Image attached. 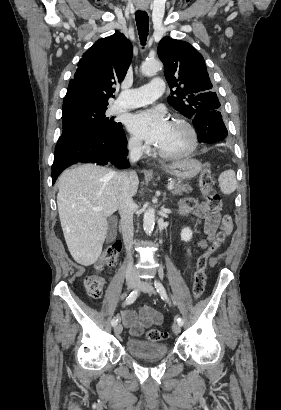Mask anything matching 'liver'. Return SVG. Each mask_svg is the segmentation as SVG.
<instances>
[{"mask_svg":"<svg viewBox=\"0 0 281 410\" xmlns=\"http://www.w3.org/2000/svg\"><path fill=\"white\" fill-rule=\"evenodd\" d=\"M115 171L93 164H82L64 171L58 182L57 206L66 244L73 259L84 266L101 255L107 234V218L117 209L113 178ZM139 185L130 174V194ZM94 207H103L94 211Z\"/></svg>","mask_w":281,"mask_h":410,"instance_id":"6515ba94","label":"liver"}]
</instances>
